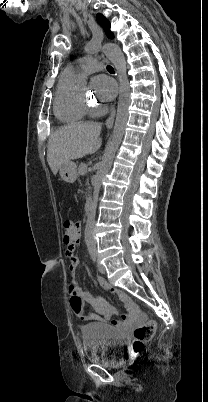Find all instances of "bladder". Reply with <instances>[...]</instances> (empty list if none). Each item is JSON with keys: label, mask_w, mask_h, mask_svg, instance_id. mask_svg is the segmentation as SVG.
Here are the masks:
<instances>
[{"label": "bladder", "mask_w": 208, "mask_h": 402, "mask_svg": "<svg viewBox=\"0 0 208 402\" xmlns=\"http://www.w3.org/2000/svg\"><path fill=\"white\" fill-rule=\"evenodd\" d=\"M82 342L88 359L99 364H111L115 363L113 357L120 352L124 339L110 324L93 323L82 326Z\"/></svg>", "instance_id": "31cf9c89"}]
</instances>
